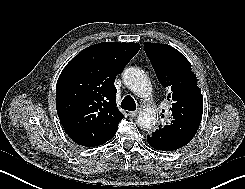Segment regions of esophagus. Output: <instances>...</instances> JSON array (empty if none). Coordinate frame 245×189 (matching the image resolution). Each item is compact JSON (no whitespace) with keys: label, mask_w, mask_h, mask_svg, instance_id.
<instances>
[{"label":"esophagus","mask_w":245,"mask_h":189,"mask_svg":"<svg viewBox=\"0 0 245 189\" xmlns=\"http://www.w3.org/2000/svg\"><path fill=\"white\" fill-rule=\"evenodd\" d=\"M138 114H139V110L131 111V112L129 113V115H130L131 117H136Z\"/></svg>","instance_id":"1"}]
</instances>
